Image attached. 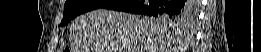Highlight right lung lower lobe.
<instances>
[{
	"instance_id": "obj_1",
	"label": "right lung lower lobe",
	"mask_w": 261,
	"mask_h": 52,
	"mask_svg": "<svg viewBox=\"0 0 261 52\" xmlns=\"http://www.w3.org/2000/svg\"><path fill=\"white\" fill-rule=\"evenodd\" d=\"M102 8L159 17L181 16L192 11L185 0H112Z\"/></svg>"
}]
</instances>
